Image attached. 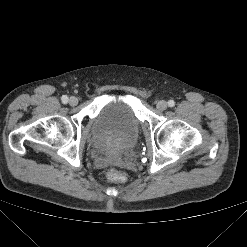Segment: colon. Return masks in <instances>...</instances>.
Wrapping results in <instances>:
<instances>
[{"label": "colon", "mask_w": 247, "mask_h": 247, "mask_svg": "<svg viewBox=\"0 0 247 247\" xmlns=\"http://www.w3.org/2000/svg\"><path fill=\"white\" fill-rule=\"evenodd\" d=\"M105 175L108 180L113 182L124 183L127 181L126 175L116 169H109Z\"/></svg>", "instance_id": "obj_1"}]
</instances>
